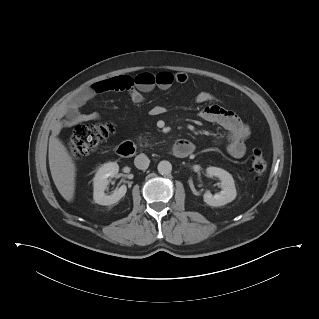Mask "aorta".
I'll return each mask as SVG.
<instances>
[{"label":"aorta","instance_id":"obj_1","mask_svg":"<svg viewBox=\"0 0 319 319\" xmlns=\"http://www.w3.org/2000/svg\"><path fill=\"white\" fill-rule=\"evenodd\" d=\"M157 169L161 175H168L172 171V165L169 161L163 160L159 162Z\"/></svg>","mask_w":319,"mask_h":319}]
</instances>
